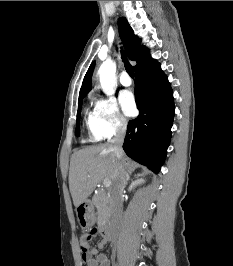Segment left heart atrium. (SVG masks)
Segmentation results:
<instances>
[{
    "instance_id": "left-heart-atrium-1",
    "label": "left heart atrium",
    "mask_w": 233,
    "mask_h": 266,
    "mask_svg": "<svg viewBox=\"0 0 233 266\" xmlns=\"http://www.w3.org/2000/svg\"><path fill=\"white\" fill-rule=\"evenodd\" d=\"M120 102L124 113L133 116L136 113V102L130 91H124L120 95Z\"/></svg>"
}]
</instances>
